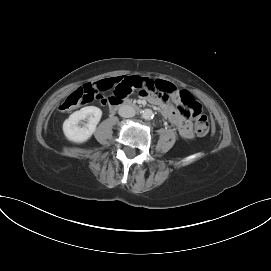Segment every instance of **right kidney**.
I'll list each match as a JSON object with an SVG mask.
<instances>
[{
	"label": "right kidney",
	"instance_id": "right-kidney-1",
	"mask_svg": "<svg viewBox=\"0 0 271 271\" xmlns=\"http://www.w3.org/2000/svg\"><path fill=\"white\" fill-rule=\"evenodd\" d=\"M101 116V109L95 106H87L75 111L63 123L64 135L75 143L87 141L95 132Z\"/></svg>",
	"mask_w": 271,
	"mask_h": 271
}]
</instances>
